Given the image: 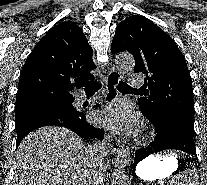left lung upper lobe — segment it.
Here are the masks:
<instances>
[{
	"mask_svg": "<svg viewBox=\"0 0 207 185\" xmlns=\"http://www.w3.org/2000/svg\"><path fill=\"white\" fill-rule=\"evenodd\" d=\"M123 51L134 56V72L146 76L147 97L138 99L141 112L156 125L172 120L193 134L191 77L173 39L149 19L133 15L118 24L111 44L113 54Z\"/></svg>",
	"mask_w": 207,
	"mask_h": 185,
	"instance_id": "5c2ea615",
	"label": "left lung upper lobe"
}]
</instances>
